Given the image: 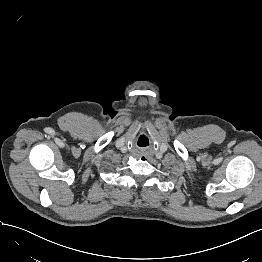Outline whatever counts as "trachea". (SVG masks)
<instances>
[{
    "label": "trachea",
    "mask_w": 262,
    "mask_h": 262,
    "mask_svg": "<svg viewBox=\"0 0 262 262\" xmlns=\"http://www.w3.org/2000/svg\"><path fill=\"white\" fill-rule=\"evenodd\" d=\"M137 144L142 147L147 146L149 145V138L145 135H141L138 137Z\"/></svg>",
    "instance_id": "trachea-1"
}]
</instances>
